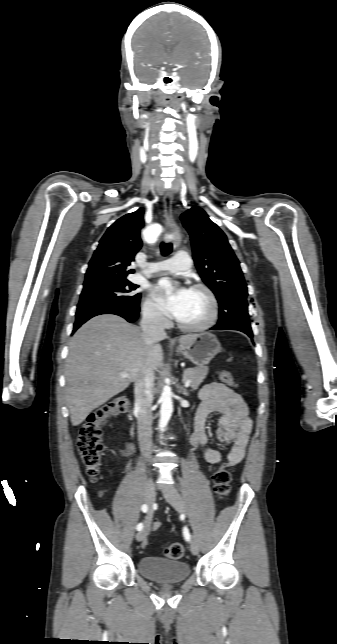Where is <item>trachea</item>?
Returning a JSON list of instances; mask_svg holds the SVG:
<instances>
[{
    "instance_id": "1",
    "label": "trachea",
    "mask_w": 337,
    "mask_h": 644,
    "mask_svg": "<svg viewBox=\"0 0 337 644\" xmlns=\"http://www.w3.org/2000/svg\"><path fill=\"white\" fill-rule=\"evenodd\" d=\"M172 251V243H162L161 244V253L167 255Z\"/></svg>"
}]
</instances>
